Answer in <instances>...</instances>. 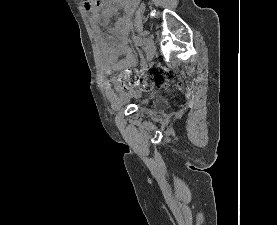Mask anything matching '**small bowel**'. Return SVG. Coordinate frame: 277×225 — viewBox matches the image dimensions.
<instances>
[{
    "label": "small bowel",
    "mask_w": 277,
    "mask_h": 225,
    "mask_svg": "<svg viewBox=\"0 0 277 225\" xmlns=\"http://www.w3.org/2000/svg\"><path fill=\"white\" fill-rule=\"evenodd\" d=\"M137 2L138 0H110L109 4L102 7L101 12H99V6L86 4V9L91 13L90 26L95 34L107 77L104 82L105 94L113 104L118 103L124 97L125 89L118 86L115 90L111 86V74L125 67L136 66V56L127 44V35ZM116 6L121 7L125 15L118 18L112 28L103 32V28L108 25L110 18L115 14ZM119 57L122 59L119 60Z\"/></svg>",
    "instance_id": "obj_1"
}]
</instances>
